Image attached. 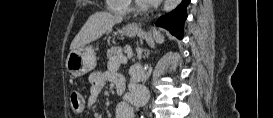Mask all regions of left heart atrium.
Wrapping results in <instances>:
<instances>
[{
  "mask_svg": "<svg viewBox=\"0 0 273 118\" xmlns=\"http://www.w3.org/2000/svg\"><path fill=\"white\" fill-rule=\"evenodd\" d=\"M142 3L146 5H155L160 2V0H141Z\"/></svg>",
  "mask_w": 273,
  "mask_h": 118,
  "instance_id": "left-heart-atrium-1",
  "label": "left heart atrium"
}]
</instances>
